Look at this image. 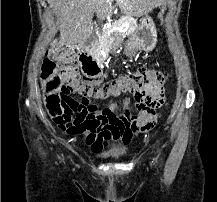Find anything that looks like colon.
Returning a JSON list of instances; mask_svg holds the SVG:
<instances>
[{
    "label": "colon",
    "mask_w": 217,
    "mask_h": 202,
    "mask_svg": "<svg viewBox=\"0 0 217 202\" xmlns=\"http://www.w3.org/2000/svg\"><path fill=\"white\" fill-rule=\"evenodd\" d=\"M45 59H41L42 67L38 74L42 77L41 91H45L44 103L49 117L63 131L71 134H81L87 130L102 131L107 128L112 131H147L152 128L150 115L155 105L165 100V84L169 79L166 71H145L138 69L127 79L116 84L124 86L134 95L135 107L138 111H147L148 114L140 117L131 115L126 108L121 111L100 109L91 104L87 89H81L82 96L74 98L73 91L77 90V83L72 78H79L76 59H70L75 54V47H51L45 49ZM60 60V63H55ZM99 95L98 91L94 92ZM161 118V116H159Z\"/></svg>",
    "instance_id": "1"
}]
</instances>
